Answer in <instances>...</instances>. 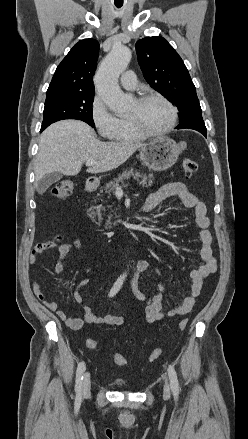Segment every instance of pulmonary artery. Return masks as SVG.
I'll return each instance as SVG.
<instances>
[{
    "mask_svg": "<svg viewBox=\"0 0 248 439\" xmlns=\"http://www.w3.org/2000/svg\"><path fill=\"white\" fill-rule=\"evenodd\" d=\"M121 86L126 90H134L137 87L136 75L133 71H126L123 73L121 80Z\"/></svg>",
    "mask_w": 248,
    "mask_h": 439,
    "instance_id": "e3ab8cb5",
    "label": "pulmonary artery"
}]
</instances>
